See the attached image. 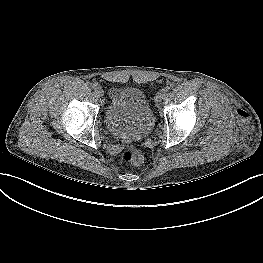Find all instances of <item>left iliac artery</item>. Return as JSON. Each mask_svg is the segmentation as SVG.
I'll return each instance as SVG.
<instances>
[{
    "mask_svg": "<svg viewBox=\"0 0 263 263\" xmlns=\"http://www.w3.org/2000/svg\"><path fill=\"white\" fill-rule=\"evenodd\" d=\"M168 94V91L166 89H163L161 92H160V95L162 97H165L166 95Z\"/></svg>",
    "mask_w": 263,
    "mask_h": 263,
    "instance_id": "left-iliac-artery-1",
    "label": "left iliac artery"
}]
</instances>
